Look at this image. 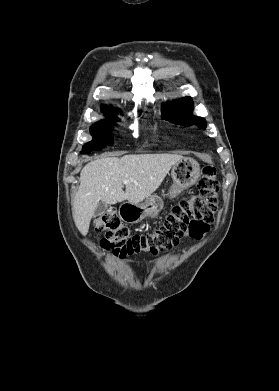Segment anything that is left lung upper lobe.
I'll return each mask as SVG.
<instances>
[{
	"label": "left lung upper lobe",
	"mask_w": 279,
	"mask_h": 391,
	"mask_svg": "<svg viewBox=\"0 0 279 391\" xmlns=\"http://www.w3.org/2000/svg\"><path fill=\"white\" fill-rule=\"evenodd\" d=\"M192 100L190 97H184L163 105L162 117L164 119L181 124L196 123L201 128H206L204 118L192 115Z\"/></svg>",
	"instance_id": "obj_1"
}]
</instances>
